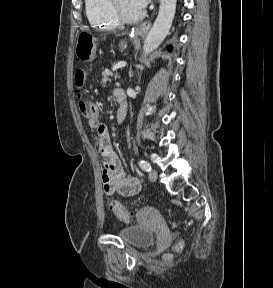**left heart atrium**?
Listing matches in <instances>:
<instances>
[{
  "instance_id": "obj_1",
  "label": "left heart atrium",
  "mask_w": 273,
  "mask_h": 288,
  "mask_svg": "<svg viewBox=\"0 0 273 288\" xmlns=\"http://www.w3.org/2000/svg\"><path fill=\"white\" fill-rule=\"evenodd\" d=\"M134 5L142 11L148 4L149 0H132Z\"/></svg>"
}]
</instances>
